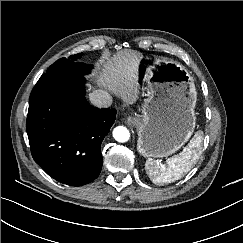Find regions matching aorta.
Segmentation results:
<instances>
[{
	"mask_svg": "<svg viewBox=\"0 0 243 243\" xmlns=\"http://www.w3.org/2000/svg\"><path fill=\"white\" fill-rule=\"evenodd\" d=\"M113 137L116 141L124 143L130 138L129 130L124 126H117L113 130Z\"/></svg>",
	"mask_w": 243,
	"mask_h": 243,
	"instance_id": "obj_1",
	"label": "aorta"
}]
</instances>
